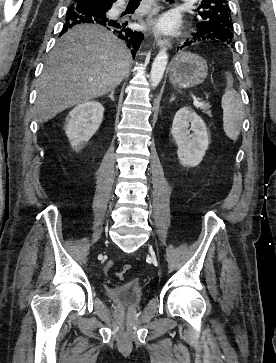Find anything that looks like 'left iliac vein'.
Segmentation results:
<instances>
[{"instance_id": "4c4485c4", "label": "left iliac vein", "mask_w": 276, "mask_h": 363, "mask_svg": "<svg viewBox=\"0 0 276 363\" xmlns=\"http://www.w3.org/2000/svg\"><path fill=\"white\" fill-rule=\"evenodd\" d=\"M150 251H151V256H152L153 260L156 261V257H155L153 250H150Z\"/></svg>"}]
</instances>
